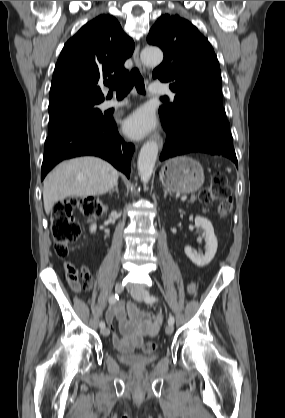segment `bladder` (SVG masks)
Returning <instances> with one entry per match:
<instances>
[{
	"mask_svg": "<svg viewBox=\"0 0 285 418\" xmlns=\"http://www.w3.org/2000/svg\"><path fill=\"white\" fill-rule=\"evenodd\" d=\"M117 359L123 364L134 368H144L152 365L156 361L154 352L139 353L135 351H117Z\"/></svg>",
	"mask_w": 285,
	"mask_h": 418,
	"instance_id": "bladder-1",
	"label": "bladder"
}]
</instances>
